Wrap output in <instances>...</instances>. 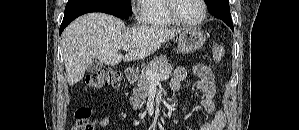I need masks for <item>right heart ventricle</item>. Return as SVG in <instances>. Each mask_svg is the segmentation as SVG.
<instances>
[{
	"label": "right heart ventricle",
	"mask_w": 299,
	"mask_h": 130,
	"mask_svg": "<svg viewBox=\"0 0 299 130\" xmlns=\"http://www.w3.org/2000/svg\"><path fill=\"white\" fill-rule=\"evenodd\" d=\"M144 22L152 27H168L173 24L166 11V0H147Z\"/></svg>",
	"instance_id": "1"
}]
</instances>
